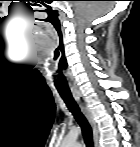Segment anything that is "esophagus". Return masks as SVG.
Instances as JSON below:
<instances>
[{
    "instance_id": "esophagus-1",
    "label": "esophagus",
    "mask_w": 140,
    "mask_h": 147,
    "mask_svg": "<svg viewBox=\"0 0 140 147\" xmlns=\"http://www.w3.org/2000/svg\"><path fill=\"white\" fill-rule=\"evenodd\" d=\"M74 98L77 101L79 107L81 108L82 113L85 115L86 119L88 120L89 124L91 125L93 131V138H94V145L95 147H99V132L98 127L93 117V114L88 107L87 103L83 99L81 95L74 94Z\"/></svg>"
}]
</instances>
